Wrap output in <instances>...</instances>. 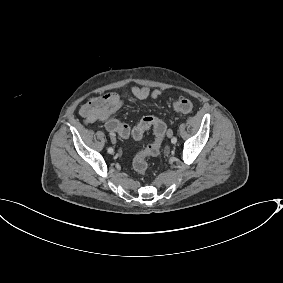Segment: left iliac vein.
I'll return each instance as SVG.
<instances>
[{"label": "left iliac vein", "mask_w": 283, "mask_h": 283, "mask_svg": "<svg viewBox=\"0 0 283 283\" xmlns=\"http://www.w3.org/2000/svg\"><path fill=\"white\" fill-rule=\"evenodd\" d=\"M173 135V131L171 130V129H169L168 131H167V136L168 137H171Z\"/></svg>", "instance_id": "left-iliac-vein-1"}]
</instances>
